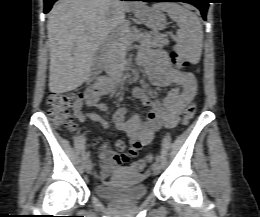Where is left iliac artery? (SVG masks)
Here are the masks:
<instances>
[{"label":"left iliac artery","mask_w":260,"mask_h":217,"mask_svg":"<svg viewBox=\"0 0 260 217\" xmlns=\"http://www.w3.org/2000/svg\"><path fill=\"white\" fill-rule=\"evenodd\" d=\"M155 159H156L157 162H160V160H161L160 155H156V158H155Z\"/></svg>","instance_id":"44dca946"}]
</instances>
